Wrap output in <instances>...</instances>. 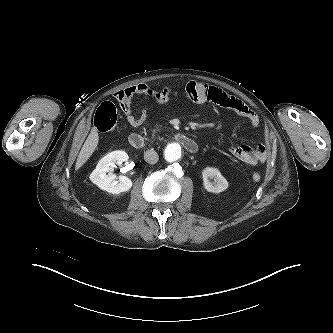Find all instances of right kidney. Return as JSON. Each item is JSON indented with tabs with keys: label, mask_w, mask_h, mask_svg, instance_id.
I'll list each match as a JSON object with an SVG mask.
<instances>
[{
	"label": "right kidney",
	"mask_w": 333,
	"mask_h": 333,
	"mask_svg": "<svg viewBox=\"0 0 333 333\" xmlns=\"http://www.w3.org/2000/svg\"><path fill=\"white\" fill-rule=\"evenodd\" d=\"M129 159L125 151H113L104 156L97 164L96 169L91 173L90 180L100 189L112 194H120L132 187V181L126 176H120L118 181L114 174H106L111 171L115 163L122 164Z\"/></svg>",
	"instance_id": "1"
}]
</instances>
